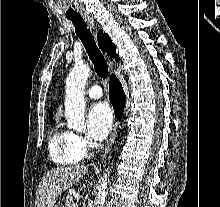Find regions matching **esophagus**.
Returning <instances> with one entry per match:
<instances>
[{
	"label": "esophagus",
	"instance_id": "1",
	"mask_svg": "<svg viewBox=\"0 0 220 207\" xmlns=\"http://www.w3.org/2000/svg\"><path fill=\"white\" fill-rule=\"evenodd\" d=\"M84 19L89 24V26L94 29V27H95L94 18L92 16H90V15L85 14L84 15ZM109 66H110V69L112 71L113 68H114V62L109 60ZM116 136H117V134H116L115 126H114V129H113V132H112L111 137L109 139V142L107 144V147H106L105 151L103 152L102 160H104L106 158L108 151L112 148V145L114 144Z\"/></svg>",
	"mask_w": 220,
	"mask_h": 207
}]
</instances>
